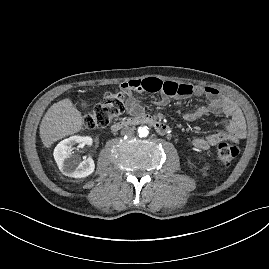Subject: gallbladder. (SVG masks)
I'll return each mask as SVG.
<instances>
[{"label": "gallbladder", "instance_id": "bac80fb5", "mask_svg": "<svg viewBox=\"0 0 269 269\" xmlns=\"http://www.w3.org/2000/svg\"><path fill=\"white\" fill-rule=\"evenodd\" d=\"M80 106L82 108H86L88 106V103L86 101H81Z\"/></svg>", "mask_w": 269, "mask_h": 269}]
</instances>
